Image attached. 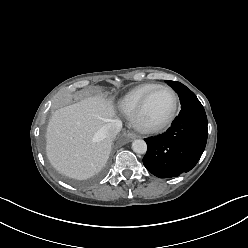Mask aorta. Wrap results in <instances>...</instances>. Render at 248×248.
Segmentation results:
<instances>
[{"label":"aorta","mask_w":248,"mask_h":248,"mask_svg":"<svg viewBox=\"0 0 248 248\" xmlns=\"http://www.w3.org/2000/svg\"><path fill=\"white\" fill-rule=\"evenodd\" d=\"M132 149L135 153L144 154L147 151V144L144 140L136 139L132 142Z\"/></svg>","instance_id":"obj_1"}]
</instances>
